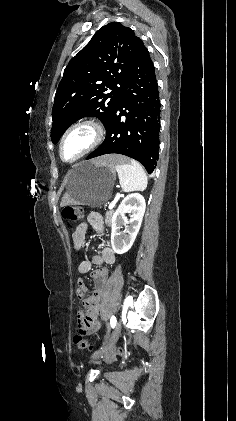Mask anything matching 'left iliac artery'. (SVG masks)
<instances>
[{
    "instance_id": "obj_1",
    "label": "left iliac artery",
    "mask_w": 236,
    "mask_h": 421,
    "mask_svg": "<svg viewBox=\"0 0 236 421\" xmlns=\"http://www.w3.org/2000/svg\"><path fill=\"white\" fill-rule=\"evenodd\" d=\"M116 322H117L116 317L112 316L111 319H110V325H111L112 328L115 327Z\"/></svg>"
}]
</instances>
